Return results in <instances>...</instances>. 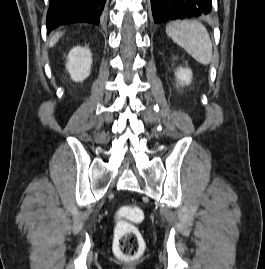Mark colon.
Here are the masks:
<instances>
[{"label": "colon", "instance_id": "obj_1", "mask_svg": "<svg viewBox=\"0 0 265 269\" xmlns=\"http://www.w3.org/2000/svg\"><path fill=\"white\" fill-rule=\"evenodd\" d=\"M119 212L127 220H122L116 227V251L124 258L134 259L139 256L142 248L141 234L134 223L143 220V213L134 205L121 207Z\"/></svg>", "mask_w": 265, "mask_h": 269}]
</instances>
